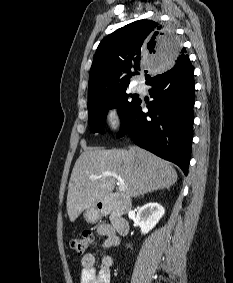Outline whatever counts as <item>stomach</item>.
Segmentation results:
<instances>
[{
	"label": "stomach",
	"mask_w": 233,
	"mask_h": 283,
	"mask_svg": "<svg viewBox=\"0 0 233 283\" xmlns=\"http://www.w3.org/2000/svg\"><path fill=\"white\" fill-rule=\"evenodd\" d=\"M101 215V211L96 206L89 207L84 212L85 220L90 223L97 222Z\"/></svg>",
	"instance_id": "obj_1"
}]
</instances>
